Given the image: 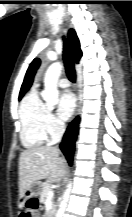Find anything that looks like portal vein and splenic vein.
Listing matches in <instances>:
<instances>
[{"instance_id":"obj_1","label":"portal vein and splenic vein","mask_w":132,"mask_h":217,"mask_svg":"<svg viewBox=\"0 0 132 217\" xmlns=\"http://www.w3.org/2000/svg\"><path fill=\"white\" fill-rule=\"evenodd\" d=\"M53 195H54V192H53L52 190H50V191L48 192V198H52Z\"/></svg>"}]
</instances>
